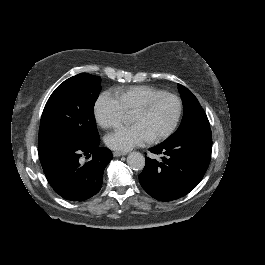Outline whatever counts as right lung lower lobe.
Listing matches in <instances>:
<instances>
[{
    "label": "right lung lower lobe",
    "mask_w": 265,
    "mask_h": 265,
    "mask_svg": "<svg viewBox=\"0 0 265 265\" xmlns=\"http://www.w3.org/2000/svg\"><path fill=\"white\" fill-rule=\"evenodd\" d=\"M99 142L74 146L51 144L39 151L46 179L53 190L70 201H83L95 195L102 186L103 171L112 159L111 151ZM82 155L92 156L80 164Z\"/></svg>",
    "instance_id": "right-lung-lower-lobe-1"
}]
</instances>
